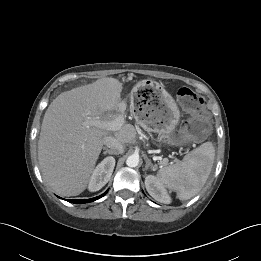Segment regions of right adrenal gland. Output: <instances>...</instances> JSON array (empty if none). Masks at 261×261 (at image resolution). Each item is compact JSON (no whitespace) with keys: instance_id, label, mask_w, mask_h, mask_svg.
I'll use <instances>...</instances> for the list:
<instances>
[{"instance_id":"1","label":"right adrenal gland","mask_w":261,"mask_h":261,"mask_svg":"<svg viewBox=\"0 0 261 261\" xmlns=\"http://www.w3.org/2000/svg\"><path fill=\"white\" fill-rule=\"evenodd\" d=\"M103 154H109V155H112V154H114V153H113L112 151L106 149V150L103 152Z\"/></svg>"}]
</instances>
